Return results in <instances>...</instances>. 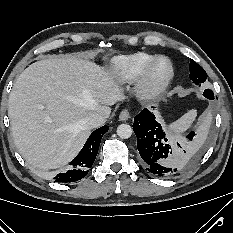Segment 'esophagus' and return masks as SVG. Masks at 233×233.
<instances>
[{
    "label": "esophagus",
    "instance_id": "34e87169",
    "mask_svg": "<svg viewBox=\"0 0 233 233\" xmlns=\"http://www.w3.org/2000/svg\"><path fill=\"white\" fill-rule=\"evenodd\" d=\"M130 117L129 111L128 109H124L121 111L120 115H119V120L120 121H126L128 120Z\"/></svg>",
    "mask_w": 233,
    "mask_h": 233
}]
</instances>
